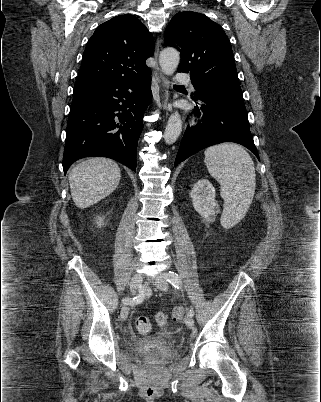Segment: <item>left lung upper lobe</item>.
Returning <instances> with one entry per match:
<instances>
[{"instance_id": "obj_1", "label": "left lung upper lobe", "mask_w": 321, "mask_h": 402, "mask_svg": "<svg viewBox=\"0 0 321 402\" xmlns=\"http://www.w3.org/2000/svg\"><path fill=\"white\" fill-rule=\"evenodd\" d=\"M165 43L178 49V72H190L191 82L199 91L213 87H240L230 41L220 25L203 14L177 13L164 33Z\"/></svg>"}]
</instances>
